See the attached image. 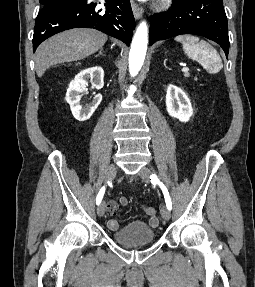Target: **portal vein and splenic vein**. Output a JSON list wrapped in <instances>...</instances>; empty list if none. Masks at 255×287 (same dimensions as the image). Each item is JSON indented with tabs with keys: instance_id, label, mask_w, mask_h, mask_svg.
I'll list each match as a JSON object with an SVG mask.
<instances>
[{
	"instance_id": "obj_1",
	"label": "portal vein and splenic vein",
	"mask_w": 255,
	"mask_h": 287,
	"mask_svg": "<svg viewBox=\"0 0 255 287\" xmlns=\"http://www.w3.org/2000/svg\"><path fill=\"white\" fill-rule=\"evenodd\" d=\"M182 72H189V68H186V64H183Z\"/></svg>"
}]
</instances>
